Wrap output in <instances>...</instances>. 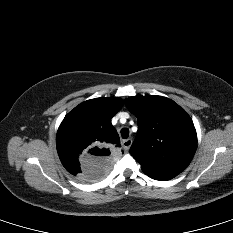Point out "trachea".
Here are the masks:
<instances>
[{
    "mask_svg": "<svg viewBox=\"0 0 233 233\" xmlns=\"http://www.w3.org/2000/svg\"><path fill=\"white\" fill-rule=\"evenodd\" d=\"M121 136L123 139H127L129 137V129L128 128H122L121 129Z\"/></svg>",
    "mask_w": 233,
    "mask_h": 233,
    "instance_id": "3493384b",
    "label": "trachea"
}]
</instances>
